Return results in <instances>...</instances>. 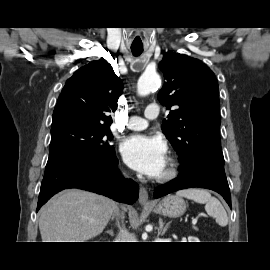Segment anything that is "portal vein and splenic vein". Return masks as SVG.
Segmentation results:
<instances>
[{
  "label": "portal vein and splenic vein",
  "instance_id": "portal-vein-and-splenic-vein-1",
  "mask_svg": "<svg viewBox=\"0 0 270 270\" xmlns=\"http://www.w3.org/2000/svg\"><path fill=\"white\" fill-rule=\"evenodd\" d=\"M197 220H198L197 217H196V218H193V219H192V225H196Z\"/></svg>",
  "mask_w": 270,
  "mask_h": 270
}]
</instances>
